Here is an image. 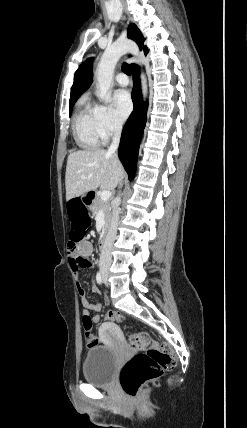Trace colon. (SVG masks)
<instances>
[{
    "mask_svg": "<svg viewBox=\"0 0 247 428\" xmlns=\"http://www.w3.org/2000/svg\"><path fill=\"white\" fill-rule=\"evenodd\" d=\"M64 207L67 208L68 217L66 227L70 230L69 254L77 258L79 268L88 267L89 262L77 254L79 243L77 239L90 237L93 224L92 217H88L90 206L84 204V200L80 199L78 194H71L69 199L64 200ZM104 314L106 322L114 323L116 320H122L121 315L114 311L107 310ZM82 322L87 345H96L97 339L92 332V321L88 317H83ZM129 342L132 347L141 351L124 365L120 374V384L128 396L135 397L145 383L156 380L166 371L173 369L177 359L167 344L153 341L147 332L132 334Z\"/></svg>",
    "mask_w": 247,
    "mask_h": 428,
    "instance_id": "5ec220e1",
    "label": "colon"
}]
</instances>
